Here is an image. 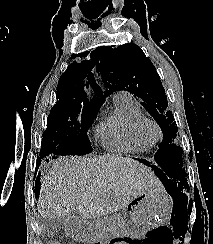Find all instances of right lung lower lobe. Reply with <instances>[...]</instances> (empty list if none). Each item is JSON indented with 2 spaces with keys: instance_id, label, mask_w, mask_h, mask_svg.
<instances>
[{
  "instance_id": "obj_1",
  "label": "right lung lower lobe",
  "mask_w": 213,
  "mask_h": 244,
  "mask_svg": "<svg viewBox=\"0 0 213 244\" xmlns=\"http://www.w3.org/2000/svg\"><path fill=\"white\" fill-rule=\"evenodd\" d=\"M41 158H44V157H42V156L38 157V160H37L38 164H39ZM38 187H39V184H36V186H35V194L36 195H38V193H39Z\"/></svg>"
}]
</instances>
